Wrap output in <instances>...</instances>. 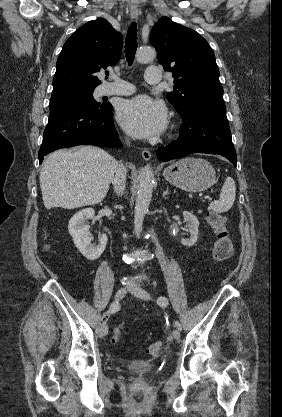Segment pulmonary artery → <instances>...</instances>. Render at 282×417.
<instances>
[{
	"label": "pulmonary artery",
	"instance_id": "1",
	"mask_svg": "<svg viewBox=\"0 0 282 417\" xmlns=\"http://www.w3.org/2000/svg\"><path fill=\"white\" fill-rule=\"evenodd\" d=\"M161 67L160 65H148L147 70L144 74L146 83H162L163 76L160 74ZM113 81L122 83V86H108L104 89L106 95H129L134 92V86L122 79L113 76L111 78Z\"/></svg>",
	"mask_w": 282,
	"mask_h": 417
}]
</instances>
